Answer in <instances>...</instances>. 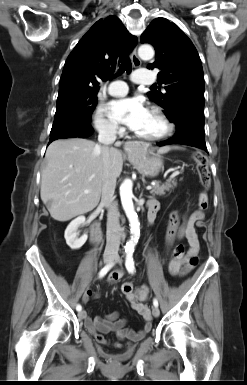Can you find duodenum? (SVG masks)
Masks as SVG:
<instances>
[{"instance_id": "obj_1", "label": "duodenum", "mask_w": 247, "mask_h": 385, "mask_svg": "<svg viewBox=\"0 0 247 385\" xmlns=\"http://www.w3.org/2000/svg\"><path fill=\"white\" fill-rule=\"evenodd\" d=\"M156 217V211L150 210L148 212V224L151 225L154 223ZM101 239V227L100 224L94 222L91 226V240L93 243H98Z\"/></svg>"}]
</instances>
